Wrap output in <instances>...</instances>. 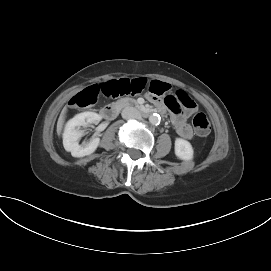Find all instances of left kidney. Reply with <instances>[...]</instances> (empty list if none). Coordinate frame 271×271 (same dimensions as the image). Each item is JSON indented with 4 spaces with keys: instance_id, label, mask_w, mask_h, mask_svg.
Listing matches in <instances>:
<instances>
[{
    "instance_id": "1",
    "label": "left kidney",
    "mask_w": 271,
    "mask_h": 271,
    "mask_svg": "<svg viewBox=\"0 0 271 271\" xmlns=\"http://www.w3.org/2000/svg\"><path fill=\"white\" fill-rule=\"evenodd\" d=\"M193 148L190 142L182 138H176L175 140V155L181 160H192L193 159Z\"/></svg>"
}]
</instances>
